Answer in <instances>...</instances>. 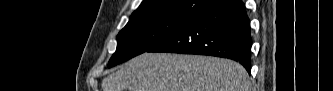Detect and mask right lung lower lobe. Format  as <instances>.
I'll use <instances>...</instances> for the list:
<instances>
[{
    "label": "right lung lower lobe",
    "instance_id": "obj_1",
    "mask_svg": "<svg viewBox=\"0 0 333 91\" xmlns=\"http://www.w3.org/2000/svg\"><path fill=\"white\" fill-rule=\"evenodd\" d=\"M250 21L241 0H218L147 52L210 55L251 71Z\"/></svg>",
    "mask_w": 333,
    "mask_h": 91
}]
</instances>
